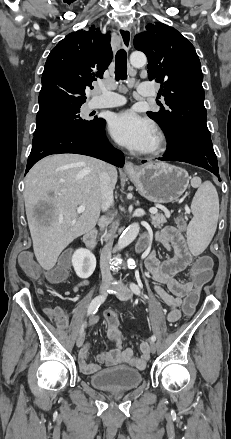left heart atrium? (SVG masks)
<instances>
[{"mask_svg": "<svg viewBox=\"0 0 231 439\" xmlns=\"http://www.w3.org/2000/svg\"><path fill=\"white\" fill-rule=\"evenodd\" d=\"M109 130L118 143L141 152L151 147L156 135L154 124L132 110L115 114L109 122Z\"/></svg>", "mask_w": 231, "mask_h": 439, "instance_id": "39dd6f15", "label": "left heart atrium"}]
</instances>
